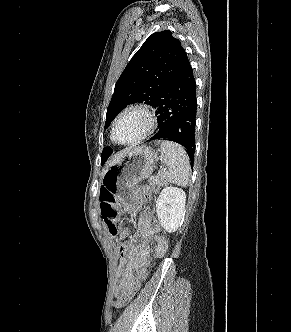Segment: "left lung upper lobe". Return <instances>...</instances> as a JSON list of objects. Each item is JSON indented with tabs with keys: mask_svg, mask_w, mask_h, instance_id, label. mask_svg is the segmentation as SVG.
<instances>
[{
	"mask_svg": "<svg viewBox=\"0 0 291 332\" xmlns=\"http://www.w3.org/2000/svg\"><path fill=\"white\" fill-rule=\"evenodd\" d=\"M185 50L181 42L165 30L152 34L132 57L115 84L107 109L105 128L127 105L144 102L154 106L160 93L174 74ZM112 150L101 154L104 164Z\"/></svg>",
	"mask_w": 291,
	"mask_h": 332,
	"instance_id": "5c2ea615",
	"label": "left lung upper lobe"
}]
</instances>
